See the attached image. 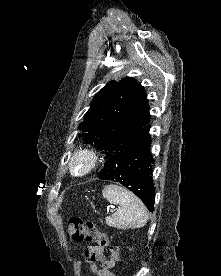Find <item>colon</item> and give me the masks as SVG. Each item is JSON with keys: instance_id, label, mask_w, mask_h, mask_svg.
<instances>
[{"instance_id": "1", "label": "colon", "mask_w": 221, "mask_h": 276, "mask_svg": "<svg viewBox=\"0 0 221 276\" xmlns=\"http://www.w3.org/2000/svg\"><path fill=\"white\" fill-rule=\"evenodd\" d=\"M67 236L74 241L95 242L100 248L109 247L111 258L106 266L110 269L120 261L118 248L109 245L108 238L97 229L93 222L76 217L71 218L68 224Z\"/></svg>"}]
</instances>
